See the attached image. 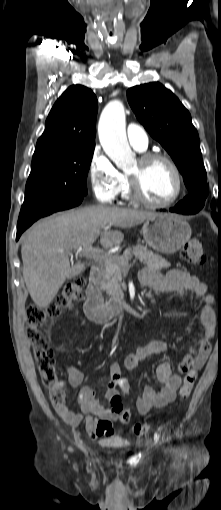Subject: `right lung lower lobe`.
Masks as SVG:
<instances>
[{
  "label": "right lung lower lobe",
  "instance_id": "right-lung-lower-lobe-1",
  "mask_svg": "<svg viewBox=\"0 0 221 510\" xmlns=\"http://www.w3.org/2000/svg\"><path fill=\"white\" fill-rule=\"evenodd\" d=\"M81 202H82V199H80L78 201H75V202H71V203L65 204L63 206L51 208V209L46 210V211H41L39 209H34L33 210V209L29 208V207L22 206L21 211H20V215H19V219H18V224H17V236H16V240H18L19 237L21 236V234L30 225H32L33 222H35L40 217H44V216L50 215V214H52L54 212H57V211H61V210H65V209H69V208L75 207V206L79 205Z\"/></svg>",
  "mask_w": 221,
  "mask_h": 510
}]
</instances>
